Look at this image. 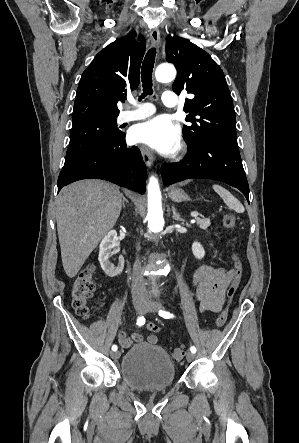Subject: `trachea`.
<instances>
[{"mask_svg":"<svg viewBox=\"0 0 299 443\" xmlns=\"http://www.w3.org/2000/svg\"><path fill=\"white\" fill-rule=\"evenodd\" d=\"M155 56H156V49L151 48L142 63V69H141V79H142V86H143V93L139 97V100L146 97L147 95L153 94L152 89V72L155 62Z\"/></svg>","mask_w":299,"mask_h":443,"instance_id":"obj_1","label":"trachea"}]
</instances>
